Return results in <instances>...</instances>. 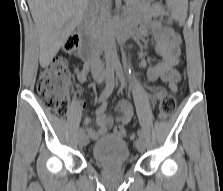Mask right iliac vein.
I'll return each instance as SVG.
<instances>
[{
    "instance_id": "obj_1",
    "label": "right iliac vein",
    "mask_w": 223,
    "mask_h": 191,
    "mask_svg": "<svg viewBox=\"0 0 223 191\" xmlns=\"http://www.w3.org/2000/svg\"><path fill=\"white\" fill-rule=\"evenodd\" d=\"M87 143H88L87 135H85L84 133H80V135H79V145L81 147H84V146L87 145Z\"/></svg>"
}]
</instances>
